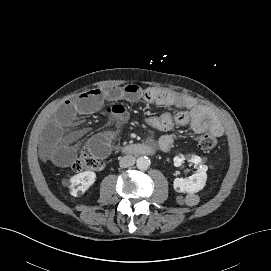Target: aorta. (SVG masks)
<instances>
[{"instance_id": "1", "label": "aorta", "mask_w": 271, "mask_h": 271, "mask_svg": "<svg viewBox=\"0 0 271 271\" xmlns=\"http://www.w3.org/2000/svg\"><path fill=\"white\" fill-rule=\"evenodd\" d=\"M136 166L139 170H147L150 166V159L146 156H141L137 159Z\"/></svg>"}]
</instances>
